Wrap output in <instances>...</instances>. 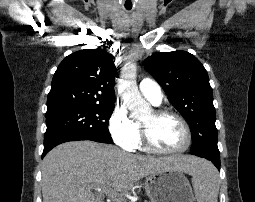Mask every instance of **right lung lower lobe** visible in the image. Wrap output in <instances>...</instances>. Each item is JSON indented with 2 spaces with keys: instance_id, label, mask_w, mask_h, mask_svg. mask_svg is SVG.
I'll list each match as a JSON object with an SVG mask.
<instances>
[{
  "instance_id": "right-lung-lower-lobe-1",
  "label": "right lung lower lobe",
  "mask_w": 255,
  "mask_h": 202,
  "mask_svg": "<svg viewBox=\"0 0 255 202\" xmlns=\"http://www.w3.org/2000/svg\"><path fill=\"white\" fill-rule=\"evenodd\" d=\"M78 140H88L80 136L76 135H57L53 137H49L44 139V150L42 154V158L55 146L68 142V141H78Z\"/></svg>"
}]
</instances>
